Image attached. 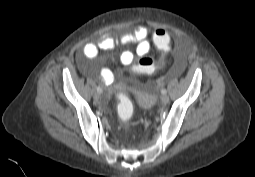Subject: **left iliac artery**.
Instances as JSON below:
<instances>
[{"label": "left iliac artery", "mask_w": 255, "mask_h": 177, "mask_svg": "<svg viewBox=\"0 0 255 177\" xmlns=\"http://www.w3.org/2000/svg\"><path fill=\"white\" fill-rule=\"evenodd\" d=\"M161 93H162V94H166V93H167V90H166V89H162V90H161Z\"/></svg>", "instance_id": "obj_1"}]
</instances>
